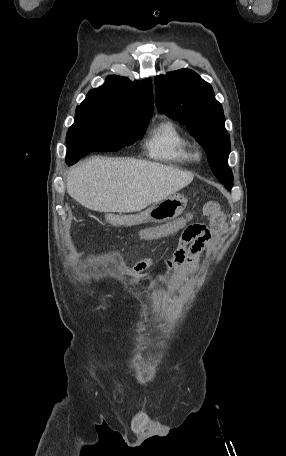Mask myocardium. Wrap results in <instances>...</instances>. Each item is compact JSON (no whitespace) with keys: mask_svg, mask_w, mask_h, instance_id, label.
Returning a JSON list of instances; mask_svg holds the SVG:
<instances>
[{"mask_svg":"<svg viewBox=\"0 0 286 456\" xmlns=\"http://www.w3.org/2000/svg\"><path fill=\"white\" fill-rule=\"evenodd\" d=\"M192 157H193L194 159H199V158L201 157V151L198 150V149L195 150V151H193V152H192Z\"/></svg>","mask_w":286,"mask_h":456,"instance_id":"f54148a6","label":"myocardium"}]
</instances>
